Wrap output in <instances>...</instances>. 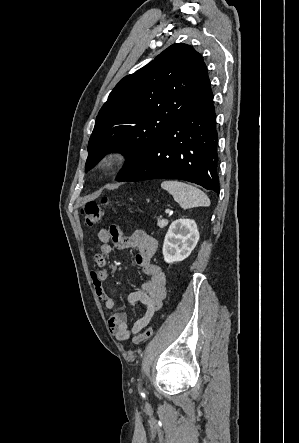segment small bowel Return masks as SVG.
<instances>
[{
  "instance_id": "obj_1",
  "label": "small bowel",
  "mask_w": 299,
  "mask_h": 443,
  "mask_svg": "<svg viewBox=\"0 0 299 443\" xmlns=\"http://www.w3.org/2000/svg\"><path fill=\"white\" fill-rule=\"evenodd\" d=\"M98 238L101 243L98 253L94 256V262L98 269L91 274L92 282L98 298L104 303L105 309L112 311L108 319L111 335L118 341H124L131 335L140 332L150 322L154 314L162 308L166 295V275L160 266L152 262L158 248V242L154 237L140 229L125 235L117 224L100 229ZM113 248L119 250L137 249L136 263L143 273L149 277V280L142 285L141 290L134 291L128 296L130 306L139 304L145 308V313L134 322L131 328H129V315L125 312L114 311L116 307L115 300L109 296L103 286V282L109 276L106 268L107 256Z\"/></svg>"
}]
</instances>
